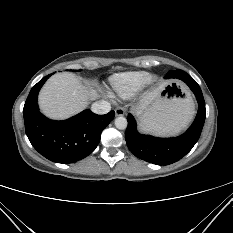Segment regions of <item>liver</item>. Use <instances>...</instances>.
Wrapping results in <instances>:
<instances>
[{"label": "liver", "mask_w": 233, "mask_h": 233, "mask_svg": "<svg viewBox=\"0 0 233 233\" xmlns=\"http://www.w3.org/2000/svg\"><path fill=\"white\" fill-rule=\"evenodd\" d=\"M167 83H161L152 91L146 92L135 108L137 114L145 111ZM98 97L97 91L83 84L73 73L63 72L51 76L39 93V106L51 119H67L83 111L90 100Z\"/></svg>", "instance_id": "6515ba94"}]
</instances>
